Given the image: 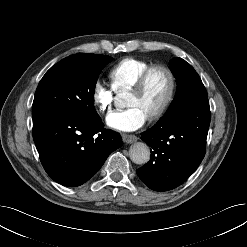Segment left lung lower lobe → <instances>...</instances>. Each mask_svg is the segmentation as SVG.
<instances>
[{
    "mask_svg": "<svg viewBox=\"0 0 247 247\" xmlns=\"http://www.w3.org/2000/svg\"><path fill=\"white\" fill-rule=\"evenodd\" d=\"M210 116L208 97H200L177 113L165 114L141 134L151 147V159L137 169V175L150 189L172 190L198 168L205 155Z\"/></svg>",
    "mask_w": 247,
    "mask_h": 247,
    "instance_id": "0a47b994",
    "label": "left lung lower lobe"
}]
</instances>
